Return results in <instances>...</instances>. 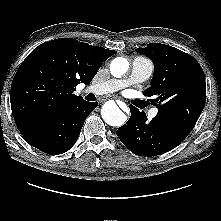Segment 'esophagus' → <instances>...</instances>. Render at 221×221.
Returning a JSON list of instances; mask_svg holds the SVG:
<instances>
[{"instance_id": "esophagus-1", "label": "esophagus", "mask_w": 221, "mask_h": 221, "mask_svg": "<svg viewBox=\"0 0 221 221\" xmlns=\"http://www.w3.org/2000/svg\"><path fill=\"white\" fill-rule=\"evenodd\" d=\"M106 100H108L107 97H103V98H102V101H106ZM120 104H121V106H125V104H124L123 102H120Z\"/></svg>"}]
</instances>
